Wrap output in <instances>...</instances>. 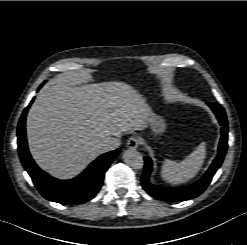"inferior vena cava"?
Masks as SVG:
<instances>
[{
  "mask_svg": "<svg viewBox=\"0 0 247 245\" xmlns=\"http://www.w3.org/2000/svg\"><path fill=\"white\" fill-rule=\"evenodd\" d=\"M102 147H103V150L105 152L110 151V150H114L118 147V141L116 139H113V138H108V139L103 141Z\"/></svg>",
  "mask_w": 247,
  "mask_h": 245,
  "instance_id": "602c4592",
  "label": "inferior vena cava"
}]
</instances>
